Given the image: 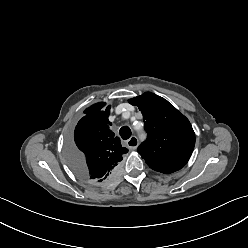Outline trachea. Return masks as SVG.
I'll return each mask as SVG.
<instances>
[{"instance_id":"1","label":"trachea","mask_w":248,"mask_h":248,"mask_svg":"<svg viewBox=\"0 0 248 248\" xmlns=\"http://www.w3.org/2000/svg\"><path fill=\"white\" fill-rule=\"evenodd\" d=\"M119 133L123 140H127L131 136V130L128 126L121 127Z\"/></svg>"}]
</instances>
